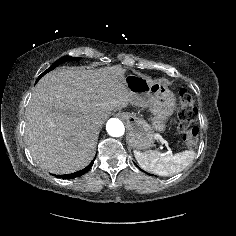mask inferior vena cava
<instances>
[{"mask_svg": "<svg viewBox=\"0 0 236 236\" xmlns=\"http://www.w3.org/2000/svg\"><path fill=\"white\" fill-rule=\"evenodd\" d=\"M92 126L94 128H98L100 126V124H99V122L95 121V122H93Z\"/></svg>", "mask_w": 236, "mask_h": 236, "instance_id": "obj_1", "label": "inferior vena cava"}]
</instances>
